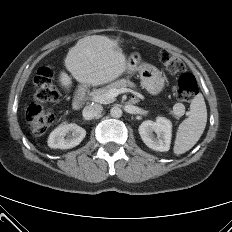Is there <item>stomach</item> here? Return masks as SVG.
Masks as SVG:
<instances>
[{"mask_svg":"<svg viewBox=\"0 0 232 232\" xmlns=\"http://www.w3.org/2000/svg\"><path fill=\"white\" fill-rule=\"evenodd\" d=\"M128 74L138 72L141 82L146 90L151 94H158L164 87V78L162 73L150 64H141L140 55L132 54L128 59Z\"/></svg>","mask_w":232,"mask_h":232,"instance_id":"1","label":"stomach"}]
</instances>
